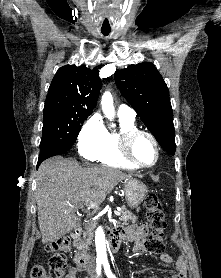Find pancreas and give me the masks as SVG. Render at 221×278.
I'll list each match as a JSON object with an SVG mask.
<instances>
[{"instance_id":"pancreas-1","label":"pancreas","mask_w":221,"mask_h":278,"mask_svg":"<svg viewBox=\"0 0 221 278\" xmlns=\"http://www.w3.org/2000/svg\"><path fill=\"white\" fill-rule=\"evenodd\" d=\"M121 216H120V221L123 222L124 225H128L129 222H136L138 217L134 214H132L126 207H121ZM93 229H94V224L90 223L89 226L86 227L84 230V235L82 238V241L77 243L78 248H86L92 240L93 237Z\"/></svg>"}]
</instances>
